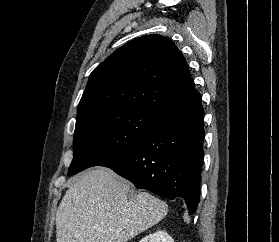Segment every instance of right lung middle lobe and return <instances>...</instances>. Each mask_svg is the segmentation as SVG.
I'll use <instances>...</instances> for the list:
<instances>
[{"label":"right lung middle lobe","instance_id":"right-lung-middle-lobe-1","mask_svg":"<svg viewBox=\"0 0 279 242\" xmlns=\"http://www.w3.org/2000/svg\"><path fill=\"white\" fill-rule=\"evenodd\" d=\"M158 113L140 109H119L77 117L74 158L68 175L118 156L147 136L157 123Z\"/></svg>","mask_w":279,"mask_h":242}]
</instances>
